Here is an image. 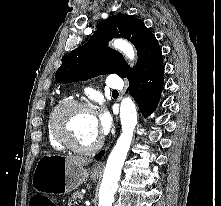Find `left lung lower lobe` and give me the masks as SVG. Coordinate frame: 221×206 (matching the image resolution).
Instances as JSON below:
<instances>
[{"mask_svg":"<svg viewBox=\"0 0 221 206\" xmlns=\"http://www.w3.org/2000/svg\"><path fill=\"white\" fill-rule=\"evenodd\" d=\"M164 69L158 73L147 76L130 84L129 93L137 102L143 116L147 117L156 108L163 88ZM104 151L95 155L96 159L101 158Z\"/></svg>","mask_w":221,"mask_h":206,"instance_id":"1","label":"left lung lower lobe"}]
</instances>
